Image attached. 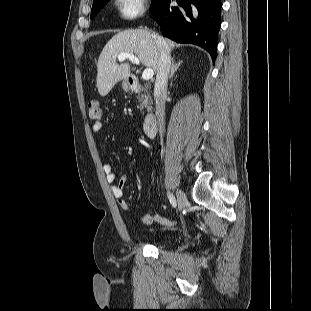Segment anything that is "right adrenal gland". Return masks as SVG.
<instances>
[{"label": "right adrenal gland", "mask_w": 311, "mask_h": 311, "mask_svg": "<svg viewBox=\"0 0 311 311\" xmlns=\"http://www.w3.org/2000/svg\"><path fill=\"white\" fill-rule=\"evenodd\" d=\"M182 62L183 61L181 60V61H178V63H175L174 57L172 58L171 70H170V74H169V80H171L173 78L174 73L177 71V69L182 64Z\"/></svg>", "instance_id": "1"}]
</instances>
